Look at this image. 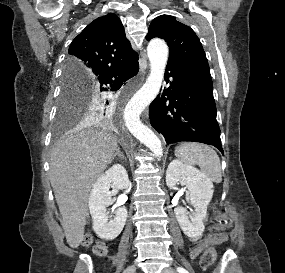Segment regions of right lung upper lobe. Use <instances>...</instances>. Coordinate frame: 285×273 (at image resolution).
<instances>
[{"label": "right lung upper lobe", "mask_w": 285, "mask_h": 273, "mask_svg": "<svg viewBox=\"0 0 285 273\" xmlns=\"http://www.w3.org/2000/svg\"><path fill=\"white\" fill-rule=\"evenodd\" d=\"M138 59L121 20L108 13L91 22L70 44L65 70L91 82L106 71Z\"/></svg>", "instance_id": "cb5924a9"}]
</instances>
